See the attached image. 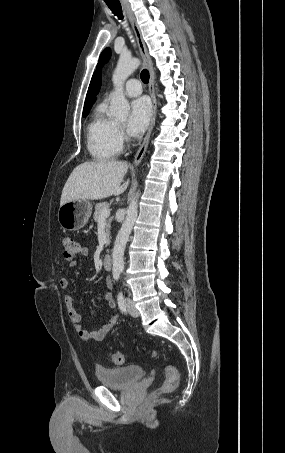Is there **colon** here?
I'll list each match as a JSON object with an SVG mask.
<instances>
[{
  "mask_svg": "<svg viewBox=\"0 0 285 453\" xmlns=\"http://www.w3.org/2000/svg\"><path fill=\"white\" fill-rule=\"evenodd\" d=\"M64 249V258L68 261L73 260L80 251V246L78 242L72 237H65L62 241ZM153 356H157L155 350H150ZM111 360L114 364L120 365L124 362V355L120 351H115L111 357ZM166 378L160 387L161 393H170L174 391L179 383V374L177 369L172 365H167L165 367Z\"/></svg>",
  "mask_w": 285,
  "mask_h": 453,
  "instance_id": "colon-1",
  "label": "colon"
}]
</instances>
